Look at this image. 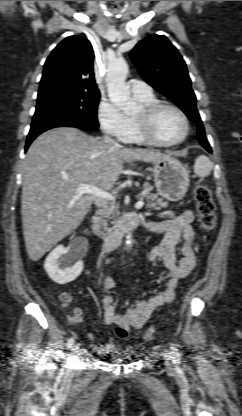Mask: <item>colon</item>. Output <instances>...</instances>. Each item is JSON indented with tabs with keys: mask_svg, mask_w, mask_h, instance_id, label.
Segmentation results:
<instances>
[{
	"mask_svg": "<svg viewBox=\"0 0 242 416\" xmlns=\"http://www.w3.org/2000/svg\"><path fill=\"white\" fill-rule=\"evenodd\" d=\"M194 199L199 214L201 229L205 232H210L215 226L216 214L215 204L209 188L203 184L197 185L194 190ZM63 299L66 300L65 298ZM116 332L121 337H126L128 334L127 329L123 326H116ZM154 336V328L147 329L143 334L145 340H152Z\"/></svg>",
	"mask_w": 242,
	"mask_h": 416,
	"instance_id": "colon-1",
	"label": "colon"
}]
</instances>
